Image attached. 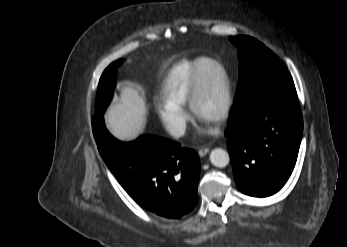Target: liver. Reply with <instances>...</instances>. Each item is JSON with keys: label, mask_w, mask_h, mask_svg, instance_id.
I'll list each match as a JSON object with an SVG mask.
<instances>
[{"label": "liver", "mask_w": 347, "mask_h": 247, "mask_svg": "<svg viewBox=\"0 0 347 247\" xmlns=\"http://www.w3.org/2000/svg\"><path fill=\"white\" fill-rule=\"evenodd\" d=\"M146 120L144 91L130 84L122 86L117 102L109 107L105 115L110 134L120 141H134L144 132Z\"/></svg>", "instance_id": "6515ba94"}]
</instances>
